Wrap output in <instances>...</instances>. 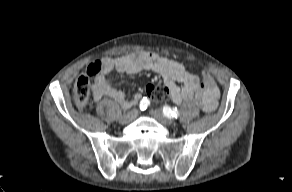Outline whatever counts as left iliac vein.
<instances>
[{"instance_id":"1","label":"left iliac vein","mask_w":292,"mask_h":192,"mask_svg":"<svg viewBox=\"0 0 292 192\" xmlns=\"http://www.w3.org/2000/svg\"><path fill=\"white\" fill-rule=\"evenodd\" d=\"M150 113H151V115H152L157 121H159L160 123H162V124H164V125H166V126H169V125L172 124V121H171L169 118H167V117L163 114L162 111L155 109V110H151Z\"/></svg>"}]
</instances>
